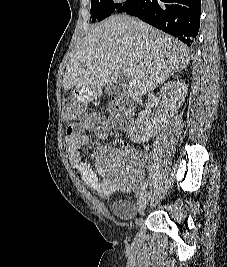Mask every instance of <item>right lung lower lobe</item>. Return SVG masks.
<instances>
[{
	"label": "right lung lower lobe",
	"instance_id": "98d812e1",
	"mask_svg": "<svg viewBox=\"0 0 227 267\" xmlns=\"http://www.w3.org/2000/svg\"><path fill=\"white\" fill-rule=\"evenodd\" d=\"M201 0H127L116 12L134 15L188 46L200 26Z\"/></svg>",
	"mask_w": 227,
	"mask_h": 267
}]
</instances>
